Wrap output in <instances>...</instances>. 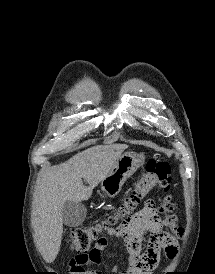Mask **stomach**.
I'll return each mask as SVG.
<instances>
[{"label": "stomach", "mask_w": 215, "mask_h": 274, "mask_svg": "<svg viewBox=\"0 0 215 274\" xmlns=\"http://www.w3.org/2000/svg\"><path fill=\"white\" fill-rule=\"evenodd\" d=\"M144 163V157L135 152H126L117 159L109 175L101 182V188L108 197H115L125 181Z\"/></svg>", "instance_id": "1"}]
</instances>
